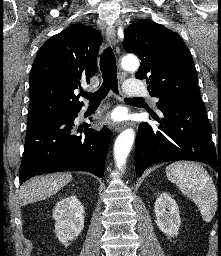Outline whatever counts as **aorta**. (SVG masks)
<instances>
[{
	"mask_svg": "<svg viewBox=\"0 0 221 256\" xmlns=\"http://www.w3.org/2000/svg\"><path fill=\"white\" fill-rule=\"evenodd\" d=\"M122 67L125 70H136L139 67V61L136 58H125L122 60ZM135 139V132L128 128L120 133L114 145V158L116 166L120 169L126 164V159L130 153Z\"/></svg>",
	"mask_w": 221,
	"mask_h": 256,
	"instance_id": "obj_1",
	"label": "aorta"
}]
</instances>
